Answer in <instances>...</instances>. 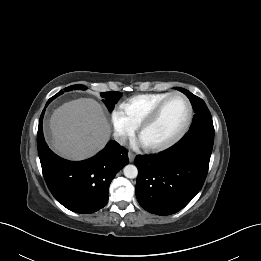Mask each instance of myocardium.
<instances>
[{"instance_id": "myocardium-1", "label": "myocardium", "mask_w": 261, "mask_h": 261, "mask_svg": "<svg viewBox=\"0 0 261 261\" xmlns=\"http://www.w3.org/2000/svg\"><path fill=\"white\" fill-rule=\"evenodd\" d=\"M173 97H180L184 100V102L186 103L187 106V117L185 120V123L183 125V127L180 129V131L171 139L162 142V143H158V144H143V146L150 151H161V150H165L168 149L170 147H172L173 145H175L177 142H179L188 132L191 123H192V119H193V107L192 104L189 100V98L181 93V92H172L169 93L165 98H163L161 101H159L152 109L151 111L147 114V116L142 120V122L138 125L137 127V135L140 139L141 134L143 133V131L145 129H147L150 125H152L154 123V121L157 119L158 115L160 114L162 108L164 107V105Z\"/></svg>"}]
</instances>
